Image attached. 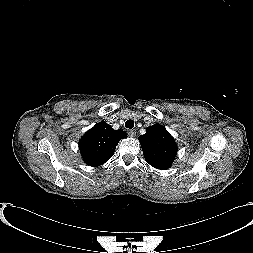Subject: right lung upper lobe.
<instances>
[{"label": "right lung upper lobe", "instance_id": "1", "mask_svg": "<svg viewBox=\"0 0 253 253\" xmlns=\"http://www.w3.org/2000/svg\"><path fill=\"white\" fill-rule=\"evenodd\" d=\"M126 136V132L112 129L105 121L97 123L79 142L84 162L92 167L104 164L113 156L119 140Z\"/></svg>", "mask_w": 253, "mask_h": 253}]
</instances>
